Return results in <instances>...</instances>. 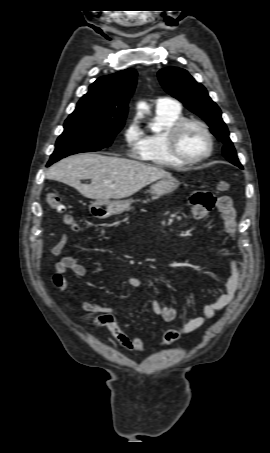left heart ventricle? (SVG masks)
<instances>
[{
	"instance_id": "b2bd125f",
	"label": "left heart ventricle",
	"mask_w": 270,
	"mask_h": 453,
	"mask_svg": "<svg viewBox=\"0 0 270 453\" xmlns=\"http://www.w3.org/2000/svg\"><path fill=\"white\" fill-rule=\"evenodd\" d=\"M207 147V138L199 127L189 125L181 132L179 137V150L186 157H200L207 151Z\"/></svg>"
}]
</instances>
